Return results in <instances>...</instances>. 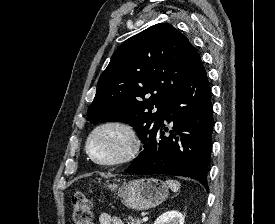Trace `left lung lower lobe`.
<instances>
[{
  "label": "left lung lower lobe",
  "mask_w": 275,
  "mask_h": 224,
  "mask_svg": "<svg viewBox=\"0 0 275 224\" xmlns=\"http://www.w3.org/2000/svg\"><path fill=\"white\" fill-rule=\"evenodd\" d=\"M173 121L171 135L164 121ZM213 108L205 68L193 73L170 99L160 125L125 170L139 175L168 174L198 180L208 190Z\"/></svg>",
  "instance_id": "left-lung-lower-lobe-1"
}]
</instances>
